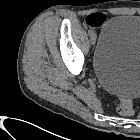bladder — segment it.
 I'll list each match as a JSON object with an SVG mask.
<instances>
[{"instance_id": "bladder-1", "label": "bladder", "mask_w": 140, "mask_h": 140, "mask_svg": "<svg viewBox=\"0 0 140 140\" xmlns=\"http://www.w3.org/2000/svg\"><path fill=\"white\" fill-rule=\"evenodd\" d=\"M92 67L107 92L122 98L140 96V15H116L104 24Z\"/></svg>"}]
</instances>
